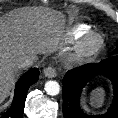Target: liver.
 <instances>
[{
  "label": "liver",
  "instance_id": "obj_1",
  "mask_svg": "<svg viewBox=\"0 0 118 118\" xmlns=\"http://www.w3.org/2000/svg\"><path fill=\"white\" fill-rule=\"evenodd\" d=\"M62 28V16L38 7L17 9L0 19V104L15 83L19 63L57 51Z\"/></svg>",
  "mask_w": 118,
  "mask_h": 118
}]
</instances>
